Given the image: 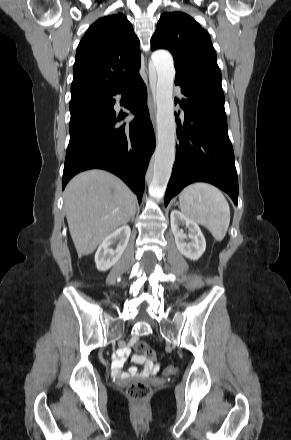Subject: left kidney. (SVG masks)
Listing matches in <instances>:
<instances>
[{"label":"left kidney","instance_id":"obj_1","mask_svg":"<svg viewBox=\"0 0 291 440\" xmlns=\"http://www.w3.org/2000/svg\"><path fill=\"white\" fill-rule=\"evenodd\" d=\"M170 220L171 230L180 253L190 260H198L206 249V241L198 224L178 210L171 212ZM180 225L188 228V234L179 228Z\"/></svg>","mask_w":291,"mask_h":440}]
</instances>
